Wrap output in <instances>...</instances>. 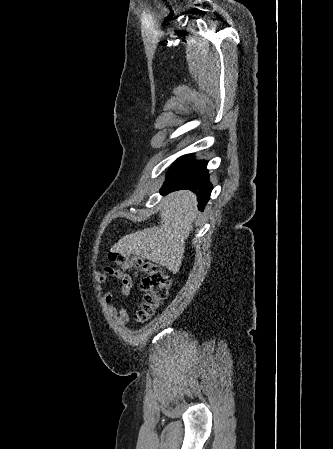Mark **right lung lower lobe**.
Here are the masks:
<instances>
[{
	"mask_svg": "<svg viewBox=\"0 0 333 449\" xmlns=\"http://www.w3.org/2000/svg\"><path fill=\"white\" fill-rule=\"evenodd\" d=\"M206 167V161H195L190 155L178 158L167 175L162 192L190 189L197 194L198 208L203 210L212 191Z\"/></svg>",
	"mask_w": 333,
	"mask_h": 449,
	"instance_id": "right-lung-lower-lobe-1",
	"label": "right lung lower lobe"
}]
</instances>
